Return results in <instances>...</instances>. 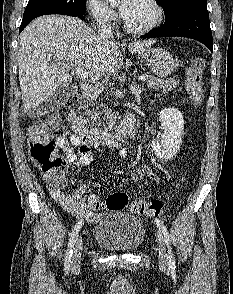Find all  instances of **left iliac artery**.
Returning a JSON list of instances; mask_svg holds the SVG:
<instances>
[{
  "label": "left iliac artery",
  "instance_id": "left-iliac-artery-1",
  "mask_svg": "<svg viewBox=\"0 0 233 294\" xmlns=\"http://www.w3.org/2000/svg\"><path fill=\"white\" fill-rule=\"evenodd\" d=\"M155 224L157 225V227L159 228V230L162 232L163 236H164V240L166 242V245L168 247V260H169V266L170 268H175L176 265H175V258H174V255L172 253V249H171V246H170V237H169V232L166 228V226L164 225V223L159 220V219H155Z\"/></svg>",
  "mask_w": 233,
  "mask_h": 294
}]
</instances>
